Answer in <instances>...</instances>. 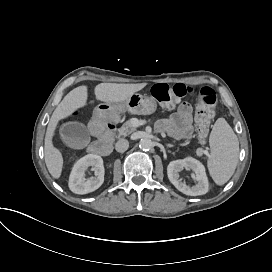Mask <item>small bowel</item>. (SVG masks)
Instances as JSON below:
<instances>
[{
    "label": "small bowel",
    "mask_w": 272,
    "mask_h": 272,
    "mask_svg": "<svg viewBox=\"0 0 272 272\" xmlns=\"http://www.w3.org/2000/svg\"><path fill=\"white\" fill-rule=\"evenodd\" d=\"M156 128L167 132L178 140L189 139L193 133V108L189 103H182L170 117L159 120Z\"/></svg>",
    "instance_id": "obj_1"
}]
</instances>
